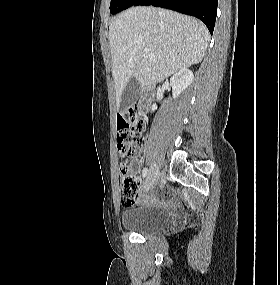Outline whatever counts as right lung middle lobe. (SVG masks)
I'll use <instances>...</instances> for the list:
<instances>
[{"label": "right lung middle lobe", "mask_w": 280, "mask_h": 285, "mask_svg": "<svg viewBox=\"0 0 280 285\" xmlns=\"http://www.w3.org/2000/svg\"><path fill=\"white\" fill-rule=\"evenodd\" d=\"M137 0H111L110 13L115 14L134 5Z\"/></svg>", "instance_id": "obj_1"}]
</instances>
